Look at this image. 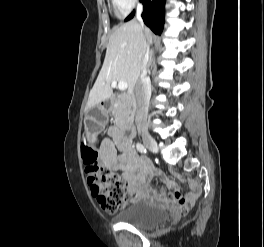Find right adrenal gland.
<instances>
[{
  "label": "right adrenal gland",
  "instance_id": "1",
  "mask_svg": "<svg viewBox=\"0 0 264 247\" xmlns=\"http://www.w3.org/2000/svg\"><path fill=\"white\" fill-rule=\"evenodd\" d=\"M153 56H154V52L153 51H151L150 52V63L152 62V60H153Z\"/></svg>",
  "mask_w": 264,
  "mask_h": 247
}]
</instances>
